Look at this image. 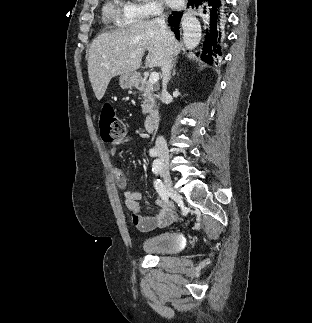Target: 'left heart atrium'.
<instances>
[{
  "instance_id": "39dd6f15",
  "label": "left heart atrium",
  "mask_w": 312,
  "mask_h": 323,
  "mask_svg": "<svg viewBox=\"0 0 312 323\" xmlns=\"http://www.w3.org/2000/svg\"><path fill=\"white\" fill-rule=\"evenodd\" d=\"M165 4H168L169 7H174L175 4H180L181 0H164Z\"/></svg>"
}]
</instances>
